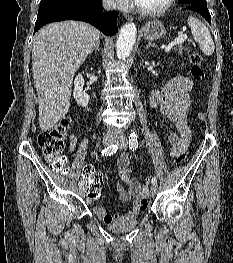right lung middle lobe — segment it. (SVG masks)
<instances>
[{"mask_svg": "<svg viewBox=\"0 0 233 263\" xmlns=\"http://www.w3.org/2000/svg\"><path fill=\"white\" fill-rule=\"evenodd\" d=\"M79 0H41L37 19L45 18L55 13L72 12Z\"/></svg>", "mask_w": 233, "mask_h": 263, "instance_id": "obj_1", "label": "right lung middle lobe"}]
</instances>
